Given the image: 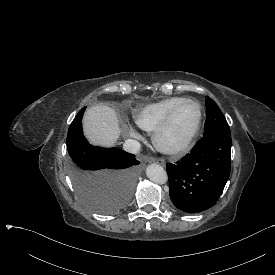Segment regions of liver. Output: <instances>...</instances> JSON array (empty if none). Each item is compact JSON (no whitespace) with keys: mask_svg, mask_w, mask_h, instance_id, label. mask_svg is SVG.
Listing matches in <instances>:
<instances>
[{"mask_svg":"<svg viewBox=\"0 0 275 275\" xmlns=\"http://www.w3.org/2000/svg\"><path fill=\"white\" fill-rule=\"evenodd\" d=\"M82 129L91 145L104 148L115 147L122 135L117 112L104 104L89 107L84 112Z\"/></svg>","mask_w":275,"mask_h":275,"instance_id":"6515ba94","label":"liver"}]
</instances>
